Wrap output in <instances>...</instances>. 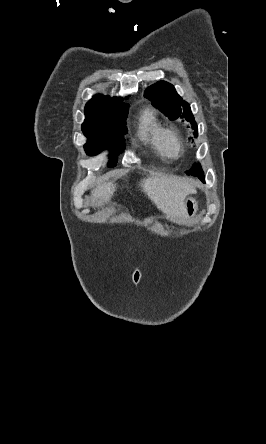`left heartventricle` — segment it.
Returning <instances> with one entry per match:
<instances>
[{"mask_svg":"<svg viewBox=\"0 0 266 444\" xmlns=\"http://www.w3.org/2000/svg\"><path fill=\"white\" fill-rule=\"evenodd\" d=\"M168 146L171 149V151L173 153H177L178 152V142L177 139L173 136L168 138Z\"/></svg>","mask_w":266,"mask_h":444,"instance_id":"1","label":"left heart ventricle"}]
</instances>
